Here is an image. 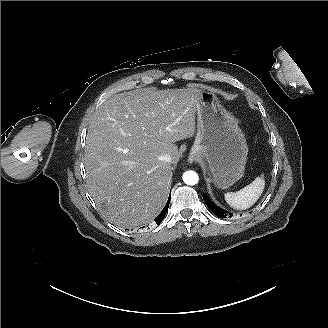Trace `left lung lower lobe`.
<instances>
[{"label": "left lung lower lobe", "instance_id": "obj_1", "mask_svg": "<svg viewBox=\"0 0 328 328\" xmlns=\"http://www.w3.org/2000/svg\"><path fill=\"white\" fill-rule=\"evenodd\" d=\"M203 199L206 203V205L208 206V208L210 210H212L216 216L220 217V218H225L226 216H229L231 218L232 214L231 213H227L225 210L221 209L220 207L214 205L208 198L206 195L203 194Z\"/></svg>", "mask_w": 328, "mask_h": 328}]
</instances>
